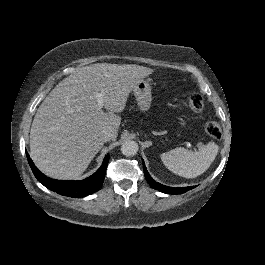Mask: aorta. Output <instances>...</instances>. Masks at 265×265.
<instances>
[{
	"mask_svg": "<svg viewBox=\"0 0 265 265\" xmlns=\"http://www.w3.org/2000/svg\"><path fill=\"white\" fill-rule=\"evenodd\" d=\"M138 143L131 140H126L122 143L121 152L125 156H134L138 152Z\"/></svg>",
	"mask_w": 265,
	"mask_h": 265,
	"instance_id": "aorta-1",
	"label": "aorta"
}]
</instances>
